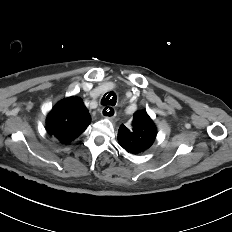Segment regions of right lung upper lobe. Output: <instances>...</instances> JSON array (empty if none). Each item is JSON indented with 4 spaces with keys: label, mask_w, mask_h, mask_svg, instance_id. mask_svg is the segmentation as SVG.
Instances as JSON below:
<instances>
[{
    "label": "right lung upper lobe",
    "mask_w": 232,
    "mask_h": 232,
    "mask_svg": "<svg viewBox=\"0 0 232 232\" xmlns=\"http://www.w3.org/2000/svg\"><path fill=\"white\" fill-rule=\"evenodd\" d=\"M91 122L88 110L76 96L59 101L46 119V130L61 143L67 144L79 137Z\"/></svg>",
    "instance_id": "1"
}]
</instances>
